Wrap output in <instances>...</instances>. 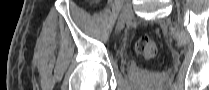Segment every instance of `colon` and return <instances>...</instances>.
<instances>
[{"label": "colon", "mask_w": 209, "mask_h": 90, "mask_svg": "<svg viewBox=\"0 0 209 90\" xmlns=\"http://www.w3.org/2000/svg\"><path fill=\"white\" fill-rule=\"evenodd\" d=\"M136 51L145 59H153L158 52L156 43L147 35H142L135 42Z\"/></svg>", "instance_id": "obj_1"}]
</instances>
